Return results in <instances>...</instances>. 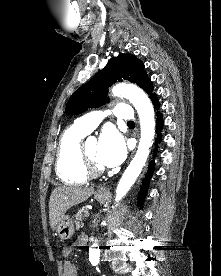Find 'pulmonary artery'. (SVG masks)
I'll list each match as a JSON object with an SVG mask.
<instances>
[{
	"instance_id": "pulmonary-artery-1",
	"label": "pulmonary artery",
	"mask_w": 221,
	"mask_h": 276,
	"mask_svg": "<svg viewBox=\"0 0 221 276\" xmlns=\"http://www.w3.org/2000/svg\"><path fill=\"white\" fill-rule=\"evenodd\" d=\"M106 112L96 111L86 114L78 118L74 127L82 131L85 134H89L93 129H95L101 122ZM112 114L122 120L131 121L133 119V110L127 104H118L112 111Z\"/></svg>"
}]
</instances>
